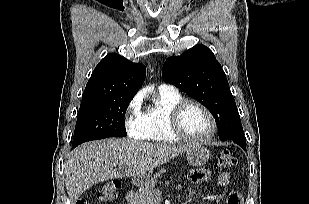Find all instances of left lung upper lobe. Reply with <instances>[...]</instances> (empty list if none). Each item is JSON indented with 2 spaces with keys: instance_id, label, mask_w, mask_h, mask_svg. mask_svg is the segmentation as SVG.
Wrapping results in <instances>:
<instances>
[{
  "instance_id": "left-lung-upper-lobe-1",
  "label": "left lung upper lobe",
  "mask_w": 309,
  "mask_h": 204,
  "mask_svg": "<svg viewBox=\"0 0 309 204\" xmlns=\"http://www.w3.org/2000/svg\"><path fill=\"white\" fill-rule=\"evenodd\" d=\"M162 78L212 113L220 139L244 135L226 75L208 47L196 45L180 56L168 58L162 68Z\"/></svg>"
}]
</instances>
